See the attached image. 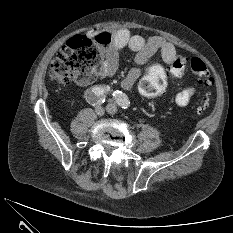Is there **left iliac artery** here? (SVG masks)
Returning <instances> with one entry per match:
<instances>
[{"label": "left iliac artery", "instance_id": "left-iliac-artery-1", "mask_svg": "<svg viewBox=\"0 0 233 233\" xmlns=\"http://www.w3.org/2000/svg\"><path fill=\"white\" fill-rule=\"evenodd\" d=\"M113 96L115 98L116 103L120 107L124 109L129 107L130 101L128 100V97L124 93H122L121 91H115L113 92Z\"/></svg>", "mask_w": 233, "mask_h": 233}]
</instances>
